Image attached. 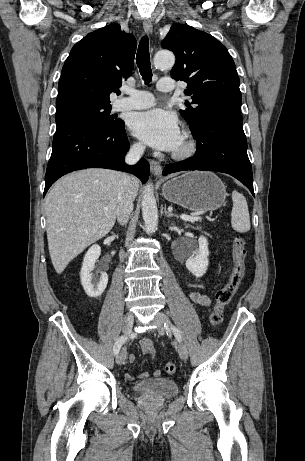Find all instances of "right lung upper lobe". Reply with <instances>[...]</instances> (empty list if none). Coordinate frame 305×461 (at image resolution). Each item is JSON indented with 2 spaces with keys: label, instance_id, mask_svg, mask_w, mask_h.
Instances as JSON below:
<instances>
[{
  "label": "right lung upper lobe",
  "instance_id": "right-lung-upper-lobe-1",
  "mask_svg": "<svg viewBox=\"0 0 305 461\" xmlns=\"http://www.w3.org/2000/svg\"><path fill=\"white\" fill-rule=\"evenodd\" d=\"M137 41L110 24L76 43L62 68L58 107L76 103H110L109 95L132 72Z\"/></svg>",
  "mask_w": 305,
  "mask_h": 461
}]
</instances>
